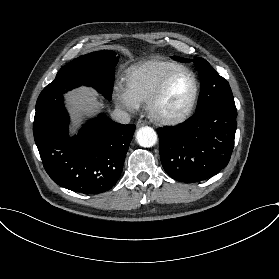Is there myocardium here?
Segmentation results:
<instances>
[{
    "instance_id": "myocardium-1",
    "label": "myocardium",
    "mask_w": 279,
    "mask_h": 279,
    "mask_svg": "<svg viewBox=\"0 0 279 279\" xmlns=\"http://www.w3.org/2000/svg\"><path fill=\"white\" fill-rule=\"evenodd\" d=\"M187 73L189 74L194 83L193 93L188 101V103L184 106V108L176 115H166L162 113L159 109L160 103L162 102L170 84L172 81L177 78L179 75ZM199 96V81L195 73L187 68L177 70L169 75H167L157 89L154 91L152 96L148 102V112L150 117L157 123L165 126H176L184 121H186L190 115L192 114L193 110L195 109L197 100Z\"/></svg>"
}]
</instances>
